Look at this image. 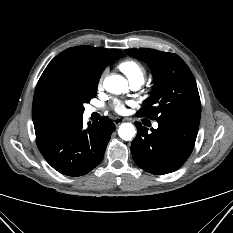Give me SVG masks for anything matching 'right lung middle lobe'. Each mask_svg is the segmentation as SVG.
<instances>
[{"label":"right lung middle lobe","instance_id":"1","mask_svg":"<svg viewBox=\"0 0 233 233\" xmlns=\"http://www.w3.org/2000/svg\"><path fill=\"white\" fill-rule=\"evenodd\" d=\"M122 56V54L116 56L110 63ZM97 84L98 82L78 81L69 89L68 99L75 107L78 117H82L83 104L88 103L90 99L96 96Z\"/></svg>","mask_w":233,"mask_h":233}]
</instances>
